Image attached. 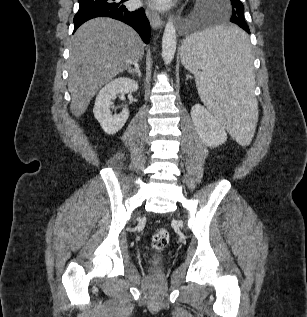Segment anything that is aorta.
I'll return each instance as SVG.
<instances>
[{"label":"aorta","mask_w":307,"mask_h":317,"mask_svg":"<svg viewBox=\"0 0 307 317\" xmlns=\"http://www.w3.org/2000/svg\"><path fill=\"white\" fill-rule=\"evenodd\" d=\"M176 29L172 18H169L165 25L162 38V58L166 65L170 64L176 52Z\"/></svg>","instance_id":"1"}]
</instances>
